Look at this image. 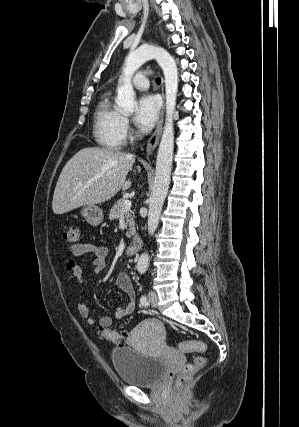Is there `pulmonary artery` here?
<instances>
[{
    "label": "pulmonary artery",
    "mask_w": 299,
    "mask_h": 427,
    "mask_svg": "<svg viewBox=\"0 0 299 427\" xmlns=\"http://www.w3.org/2000/svg\"><path fill=\"white\" fill-rule=\"evenodd\" d=\"M151 75V73L147 70H143L139 73H137L135 75V77L133 78V85L137 88V89H147L149 86V76Z\"/></svg>",
    "instance_id": "pulmonary-artery-1"
}]
</instances>
